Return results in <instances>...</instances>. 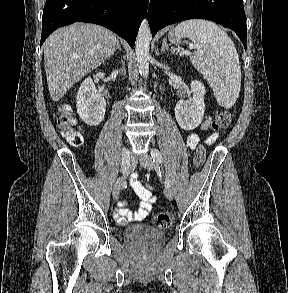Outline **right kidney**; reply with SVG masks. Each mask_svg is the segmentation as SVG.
<instances>
[{
    "instance_id": "1",
    "label": "right kidney",
    "mask_w": 288,
    "mask_h": 293,
    "mask_svg": "<svg viewBox=\"0 0 288 293\" xmlns=\"http://www.w3.org/2000/svg\"><path fill=\"white\" fill-rule=\"evenodd\" d=\"M76 102L77 112L86 124L96 126L102 122L106 111V101L102 95L97 93L91 77H87L82 82Z\"/></svg>"
}]
</instances>
